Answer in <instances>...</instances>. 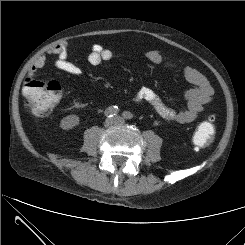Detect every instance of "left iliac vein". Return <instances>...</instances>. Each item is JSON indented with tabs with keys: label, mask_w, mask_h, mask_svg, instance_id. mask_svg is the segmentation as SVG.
<instances>
[{
	"label": "left iliac vein",
	"mask_w": 245,
	"mask_h": 245,
	"mask_svg": "<svg viewBox=\"0 0 245 245\" xmlns=\"http://www.w3.org/2000/svg\"><path fill=\"white\" fill-rule=\"evenodd\" d=\"M117 119H118V123L119 124H122L124 121H123V119L121 118V117H116Z\"/></svg>",
	"instance_id": "1"
}]
</instances>
